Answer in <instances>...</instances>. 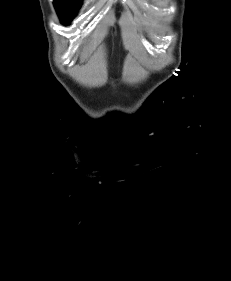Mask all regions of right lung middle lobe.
I'll use <instances>...</instances> for the list:
<instances>
[{
    "label": "right lung middle lobe",
    "mask_w": 231,
    "mask_h": 281,
    "mask_svg": "<svg viewBox=\"0 0 231 281\" xmlns=\"http://www.w3.org/2000/svg\"><path fill=\"white\" fill-rule=\"evenodd\" d=\"M81 0H55L54 6L63 24H68L81 6Z\"/></svg>",
    "instance_id": "right-lung-middle-lobe-1"
}]
</instances>
